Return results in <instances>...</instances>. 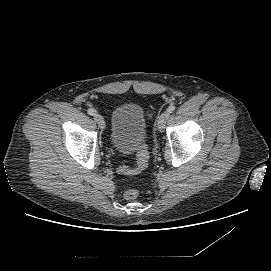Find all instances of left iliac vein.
<instances>
[{"label": "left iliac vein", "mask_w": 271, "mask_h": 271, "mask_svg": "<svg viewBox=\"0 0 271 271\" xmlns=\"http://www.w3.org/2000/svg\"><path fill=\"white\" fill-rule=\"evenodd\" d=\"M169 115L170 114H169L168 111H165L160 115V117L158 119V129H159V131L164 130L165 125H166V121L169 118Z\"/></svg>", "instance_id": "obj_1"}]
</instances>
